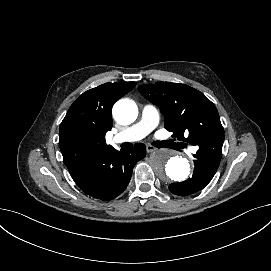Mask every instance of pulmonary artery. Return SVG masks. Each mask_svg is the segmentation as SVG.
I'll return each instance as SVG.
<instances>
[{
	"instance_id": "pulmonary-artery-1",
	"label": "pulmonary artery",
	"mask_w": 271,
	"mask_h": 271,
	"mask_svg": "<svg viewBox=\"0 0 271 271\" xmlns=\"http://www.w3.org/2000/svg\"><path fill=\"white\" fill-rule=\"evenodd\" d=\"M161 124V119L158 115V110L155 106L148 104L142 109L141 119L126 130L115 133L111 136L110 140L112 144H121L125 142H136L144 138L145 136L151 135L155 129ZM181 146L183 149L190 154L194 152L200 154L203 148L200 145L195 147L189 142H182Z\"/></svg>"
}]
</instances>
